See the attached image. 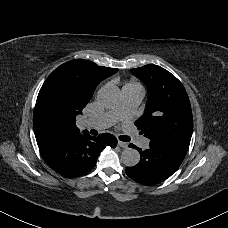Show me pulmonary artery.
<instances>
[{"instance_id":"pulmonary-artery-1","label":"pulmonary artery","mask_w":228,"mask_h":228,"mask_svg":"<svg viewBox=\"0 0 228 228\" xmlns=\"http://www.w3.org/2000/svg\"><path fill=\"white\" fill-rule=\"evenodd\" d=\"M142 93V88L137 85L128 90L123 103V107L126 112L130 113L135 110L137 100L142 96ZM115 121L114 114L108 113L101 118V122L103 123L104 127L112 125Z\"/></svg>"}]
</instances>
